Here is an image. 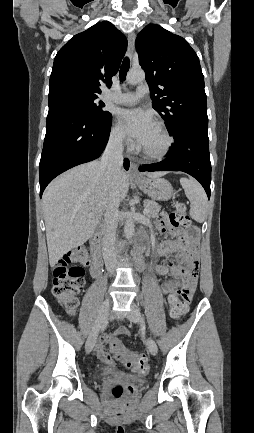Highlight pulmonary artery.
<instances>
[{"mask_svg":"<svg viewBox=\"0 0 254 433\" xmlns=\"http://www.w3.org/2000/svg\"><path fill=\"white\" fill-rule=\"evenodd\" d=\"M148 92L149 88L147 85H140L137 87L135 92H126L114 96H109V99L123 105H134L140 100V98L148 94Z\"/></svg>","mask_w":254,"mask_h":433,"instance_id":"e3ab8cb5","label":"pulmonary artery"}]
</instances>
